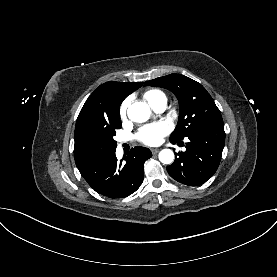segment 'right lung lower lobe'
<instances>
[{
    "mask_svg": "<svg viewBox=\"0 0 277 277\" xmlns=\"http://www.w3.org/2000/svg\"><path fill=\"white\" fill-rule=\"evenodd\" d=\"M151 156L148 148L137 146L131 149L127 157L118 161L113 150L94 157L78 169L96 192L109 198H122L140 187L144 177V162Z\"/></svg>",
    "mask_w": 277,
    "mask_h": 277,
    "instance_id": "1",
    "label": "right lung lower lobe"
}]
</instances>
